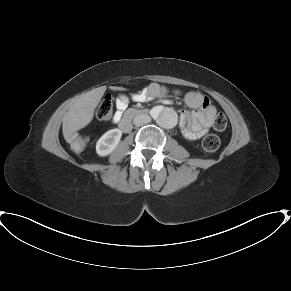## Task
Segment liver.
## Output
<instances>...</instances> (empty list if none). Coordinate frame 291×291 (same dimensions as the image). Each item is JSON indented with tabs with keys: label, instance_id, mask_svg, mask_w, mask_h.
<instances>
[{
	"label": "liver",
	"instance_id": "6515ba94",
	"mask_svg": "<svg viewBox=\"0 0 291 291\" xmlns=\"http://www.w3.org/2000/svg\"><path fill=\"white\" fill-rule=\"evenodd\" d=\"M112 90H123L122 87H110ZM106 91L102 86L81 95L63 116V135L66 140L80 129L87 126L93 119L94 110Z\"/></svg>",
	"mask_w": 291,
	"mask_h": 291
}]
</instances>
